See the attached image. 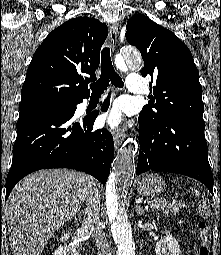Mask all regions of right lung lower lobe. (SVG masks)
I'll use <instances>...</instances> for the list:
<instances>
[{
	"label": "right lung lower lobe",
	"mask_w": 221,
	"mask_h": 255,
	"mask_svg": "<svg viewBox=\"0 0 221 255\" xmlns=\"http://www.w3.org/2000/svg\"><path fill=\"white\" fill-rule=\"evenodd\" d=\"M82 101L83 98L20 109L5 200L19 180L40 169H76L105 185L114 157L113 137L106 129H93L98 112L80 121L72 120L76 105ZM108 106L109 99L102 111Z\"/></svg>",
	"instance_id": "98d812e1"
}]
</instances>
